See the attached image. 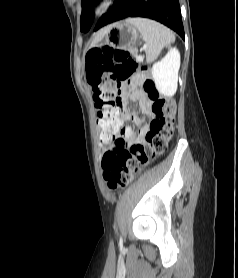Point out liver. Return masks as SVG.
<instances>
[{
  "label": "liver",
  "instance_id": "liver-1",
  "mask_svg": "<svg viewBox=\"0 0 238 278\" xmlns=\"http://www.w3.org/2000/svg\"><path fill=\"white\" fill-rule=\"evenodd\" d=\"M105 33H106V28L103 29V30H101V31L96 35V37L94 38V40H93L91 46H93V45H95L96 43H98V42L103 38V36L105 35Z\"/></svg>",
  "mask_w": 238,
  "mask_h": 278
}]
</instances>
